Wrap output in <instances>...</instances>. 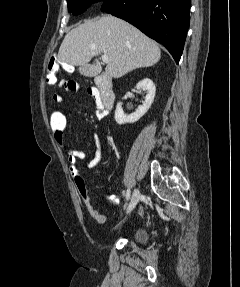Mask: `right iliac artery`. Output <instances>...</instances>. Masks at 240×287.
Returning a JSON list of instances; mask_svg holds the SVG:
<instances>
[{"label": "right iliac artery", "instance_id": "right-iliac-artery-1", "mask_svg": "<svg viewBox=\"0 0 240 287\" xmlns=\"http://www.w3.org/2000/svg\"><path fill=\"white\" fill-rule=\"evenodd\" d=\"M130 198V189H127L126 191V200H129Z\"/></svg>", "mask_w": 240, "mask_h": 287}]
</instances>
